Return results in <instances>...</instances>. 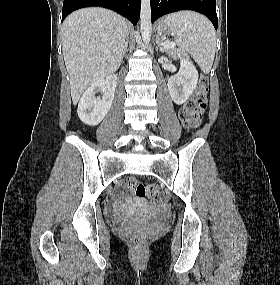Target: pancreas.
<instances>
[{
  "label": "pancreas",
  "mask_w": 280,
  "mask_h": 285,
  "mask_svg": "<svg viewBox=\"0 0 280 285\" xmlns=\"http://www.w3.org/2000/svg\"><path fill=\"white\" fill-rule=\"evenodd\" d=\"M170 53L174 56L185 55V51L182 49L171 48Z\"/></svg>",
  "instance_id": "obj_1"
}]
</instances>
